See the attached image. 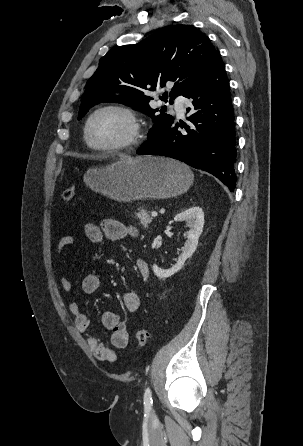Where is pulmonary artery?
Wrapping results in <instances>:
<instances>
[{
  "label": "pulmonary artery",
  "mask_w": 303,
  "mask_h": 446,
  "mask_svg": "<svg viewBox=\"0 0 303 446\" xmlns=\"http://www.w3.org/2000/svg\"><path fill=\"white\" fill-rule=\"evenodd\" d=\"M185 103H186V100H185V98H183L182 96H178V97L175 99V103H174L175 110H176V112H177L180 116H183V115H184V112H185Z\"/></svg>",
  "instance_id": "e3ab8cb5"
}]
</instances>
